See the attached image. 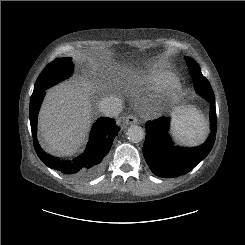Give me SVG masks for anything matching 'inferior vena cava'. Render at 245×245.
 I'll return each mask as SVG.
<instances>
[{
    "label": "inferior vena cava",
    "instance_id": "inferior-vena-cava-1",
    "mask_svg": "<svg viewBox=\"0 0 245 245\" xmlns=\"http://www.w3.org/2000/svg\"><path fill=\"white\" fill-rule=\"evenodd\" d=\"M98 108L106 117H117L122 111V100L115 96L105 97L98 102Z\"/></svg>",
    "mask_w": 245,
    "mask_h": 245
}]
</instances>
